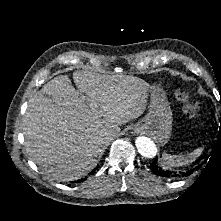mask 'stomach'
Segmentation results:
<instances>
[{
    "mask_svg": "<svg viewBox=\"0 0 221 221\" xmlns=\"http://www.w3.org/2000/svg\"><path fill=\"white\" fill-rule=\"evenodd\" d=\"M148 114L136 124V128L150 134L160 144L169 141L172 129V111L165 93L158 88H151Z\"/></svg>",
    "mask_w": 221,
    "mask_h": 221,
    "instance_id": "1",
    "label": "stomach"
}]
</instances>
